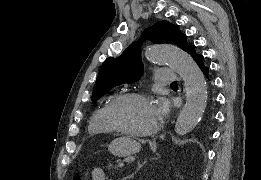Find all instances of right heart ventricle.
Returning a JSON list of instances; mask_svg holds the SVG:
<instances>
[{
	"label": "right heart ventricle",
	"mask_w": 261,
	"mask_h": 180,
	"mask_svg": "<svg viewBox=\"0 0 261 180\" xmlns=\"http://www.w3.org/2000/svg\"><path fill=\"white\" fill-rule=\"evenodd\" d=\"M114 96H110L107 98L104 102H102L92 113L88 126H87V132L88 133H94L95 137L91 138L94 141L97 142H105L110 139L115 138L113 134L110 132V130L107 128L104 118H103V112L104 109L107 107L109 102L113 99Z\"/></svg>",
	"instance_id": "1"
}]
</instances>
